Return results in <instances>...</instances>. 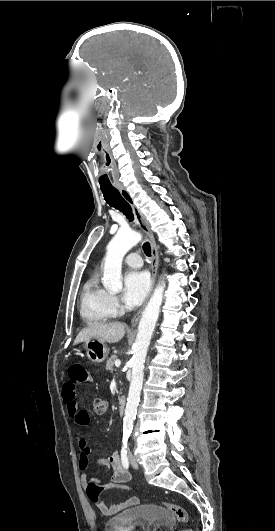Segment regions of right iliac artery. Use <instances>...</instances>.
<instances>
[{"label":"right iliac artery","mask_w":275,"mask_h":531,"mask_svg":"<svg viewBox=\"0 0 275 531\" xmlns=\"http://www.w3.org/2000/svg\"><path fill=\"white\" fill-rule=\"evenodd\" d=\"M121 461L122 465L125 469H128L129 467V460L127 456V442L123 441V447L121 449Z\"/></svg>","instance_id":"82829eb1"}]
</instances>
